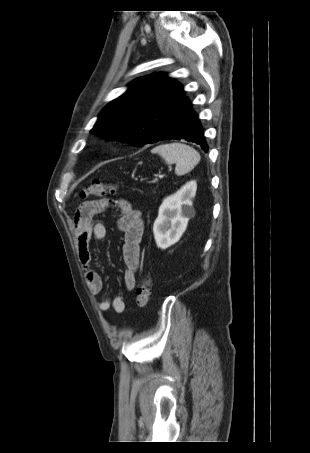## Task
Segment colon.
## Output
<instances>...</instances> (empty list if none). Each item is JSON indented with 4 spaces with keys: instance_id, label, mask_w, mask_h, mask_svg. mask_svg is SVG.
<instances>
[{
    "instance_id": "colon-1",
    "label": "colon",
    "mask_w": 310,
    "mask_h": 453,
    "mask_svg": "<svg viewBox=\"0 0 310 453\" xmlns=\"http://www.w3.org/2000/svg\"><path fill=\"white\" fill-rule=\"evenodd\" d=\"M116 191V185L111 183H105L99 180H94L86 185L80 191V197L83 199L102 196L106 193L113 194ZM151 295V284L148 278H142L138 283L135 294V303L138 307L144 308L150 299Z\"/></svg>"
}]
</instances>
